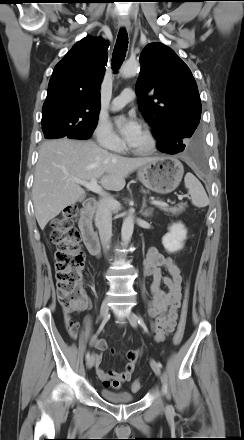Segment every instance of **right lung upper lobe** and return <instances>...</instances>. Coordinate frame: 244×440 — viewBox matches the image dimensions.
I'll list each match as a JSON object with an SVG mask.
<instances>
[{
    "label": "right lung upper lobe",
    "mask_w": 244,
    "mask_h": 440,
    "mask_svg": "<svg viewBox=\"0 0 244 440\" xmlns=\"http://www.w3.org/2000/svg\"><path fill=\"white\" fill-rule=\"evenodd\" d=\"M106 48L102 38L87 36L56 65L43 105L42 121L65 120L79 125L98 120Z\"/></svg>",
    "instance_id": "right-lung-upper-lobe-1"
}]
</instances>
